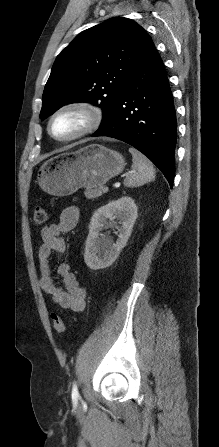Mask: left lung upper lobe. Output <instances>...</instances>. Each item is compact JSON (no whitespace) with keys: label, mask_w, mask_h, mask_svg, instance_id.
Returning <instances> with one entry per match:
<instances>
[{"label":"left lung upper lobe","mask_w":219,"mask_h":447,"mask_svg":"<svg viewBox=\"0 0 219 447\" xmlns=\"http://www.w3.org/2000/svg\"><path fill=\"white\" fill-rule=\"evenodd\" d=\"M147 32L127 18H111L81 32L56 58L45 85L40 118L73 102H92L109 116L148 43Z\"/></svg>","instance_id":"obj_1"}]
</instances>
